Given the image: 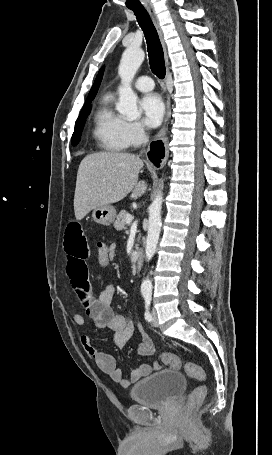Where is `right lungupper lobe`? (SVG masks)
I'll use <instances>...</instances> for the list:
<instances>
[{
  "label": "right lung upper lobe",
  "instance_id": "right-lung-upper-lobe-1",
  "mask_svg": "<svg viewBox=\"0 0 272 455\" xmlns=\"http://www.w3.org/2000/svg\"><path fill=\"white\" fill-rule=\"evenodd\" d=\"M103 72H104V66L100 69V71H99V73H98V75L96 77V80H95V82H94V84H93V86H92V88H91V90L89 92V95H88V97L86 99V102L94 99V97H95V95H96V93H97V91L99 89V86L101 84L102 77H103Z\"/></svg>",
  "mask_w": 272,
  "mask_h": 455
}]
</instances>
